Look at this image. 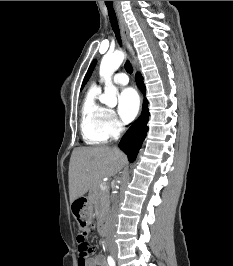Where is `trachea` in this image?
<instances>
[{
	"label": "trachea",
	"mask_w": 233,
	"mask_h": 266,
	"mask_svg": "<svg viewBox=\"0 0 233 266\" xmlns=\"http://www.w3.org/2000/svg\"><path fill=\"white\" fill-rule=\"evenodd\" d=\"M105 4H106L107 9H108V14H109L111 27H112L115 35H116V38H117L119 44L121 45V37H120V32H119V26H118L116 14H115V11H114V8H113V3H112V1H105ZM125 70L128 73H130V74L133 72V67L130 64L129 60H127L126 63H125Z\"/></svg>",
	"instance_id": "1"
}]
</instances>
